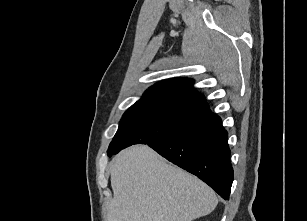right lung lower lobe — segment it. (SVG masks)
I'll use <instances>...</instances> for the list:
<instances>
[{
	"instance_id": "right-lung-lower-lobe-1",
	"label": "right lung lower lobe",
	"mask_w": 307,
	"mask_h": 221,
	"mask_svg": "<svg viewBox=\"0 0 307 221\" xmlns=\"http://www.w3.org/2000/svg\"><path fill=\"white\" fill-rule=\"evenodd\" d=\"M227 131L218 115L209 112L184 131L147 145L196 175L228 200L233 182Z\"/></svg>"
}]
</instances>
